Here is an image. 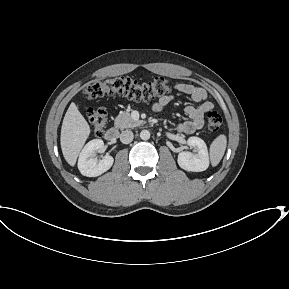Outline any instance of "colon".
I'll list each match as a JSON object with an SVG mask.
<instances>
[{
    "mask_svg": "<svg viewBox=\"0 0 289 289\" xmlns=\"http://www.w3.org/2000/svg\"><path fill=\"white\" fill-rule=\"evenodd\" d=\"M171 86L164 77H156L151 81L140 82L129 77H113L87 84L84 94L89 99H97L105 95H122L136 101L149 102L157 97L170 93ZM90 126L96 136H102L107 126V114L103 108L88 109ZM222 125V117L216 111L207 114V127L217 131Z\"/></svg>",
    "mask_w": 289,
    "mask_h": 289,
    "instance_id": "obj_1",
    "label": "colon"
}]
</instances>
